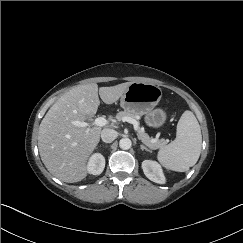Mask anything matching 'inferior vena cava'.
Instances as JSON below:
<instances>
[{
	"mask_svg": "<svg viewBox=\"0 0 243 243\" xmlns=\"http://www.w3.org/2000/svg\"><path fill=\"white\" fill-rule=\"evenodd\" d=\"M117 137V133L113 129H103L101 132V139L105 143H111Z\"/></svg>",
	"mask_w": 243,
	"mask_h": 243,
	"instance_id": "inferior-vena-cava-1",
	"label": "inferior vena cava"
}]
</instances>
